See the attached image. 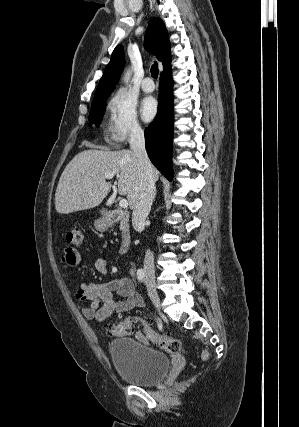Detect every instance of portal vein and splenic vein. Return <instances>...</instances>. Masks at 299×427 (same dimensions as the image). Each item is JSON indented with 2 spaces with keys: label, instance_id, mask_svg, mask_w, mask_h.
<instances>
[{
  "label": "portal vein and splenic vein",
  "instance_id": "18ae733b",
  "mask_svg": "<svg viewBox=\"0 0 299 427\" xmlns=\"http://www.w3.org/2000/svg\"><path fill=\"white\" fill-rule=\"evenodd\" d=\"M113 177H114V174H112V173H106L105 174V178H107V179H112ZM119 206L121 208H127L128 207V201L126 199H121L119 201Z\"/></svg>",
  "mask_w": 299,
  "mask_h": 427
}]
</instances>
